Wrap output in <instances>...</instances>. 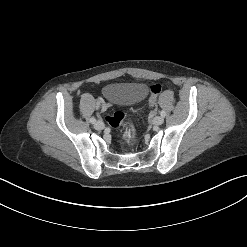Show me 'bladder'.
<instances>
[{"label": "bladder", "instance_id": "bladder-1", "mask_svg": "<svg viewBox=\"0 0 247 247\" xmlns=\"http://www.w3.org/2000/svg\"><path fill=\"white\" fill-rule=\"evenodd\" d=\"M103 93L113 103L130 105L144 99L148 93V87L139 82L111 83L103 88Z\"/></svg>", "mask_w": 247, "mask_h": 247}]
</instances>
